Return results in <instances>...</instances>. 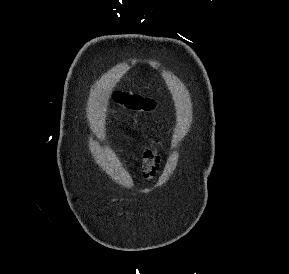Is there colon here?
Masks as SVG:
<instances>
[{
	"instance_id": "1",
	"label": "colon",
	"mask_w": 289,
	"mask_h": 274,
	"mask_svg": "<svg viewBox=\"0 0 289 274\" xmlns=\"http://www.w3.org/2000/svg\"><path fill=\"white\" fill-rule=\"evenodd\" d=\"M114 99L124 108L137 112H150L155 109L156 101L144 98L139 95H129L123 92H117Z\"/></svg>"
}]
</instances>
